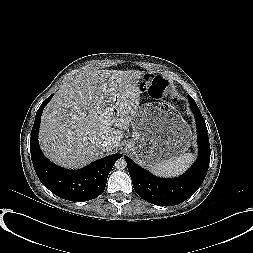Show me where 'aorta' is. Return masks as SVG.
Returning a JSON list of instances; mask_svg holds the SVG:
<instances>
[{
	"instance_id": "762f6f07",
	"label": "aorta",
	"mask_w": 253,
	"mask_h": 253,
	"mask_svg": "<svg viewBox=\"0 0 253 253\" xmlns=\"http://www.w3.org/2000/svg\"><path fill=\"white\" fill-rule=\"evenodd\" d=\"M115 167L118 169V170H123L127 167V162L124 158H120L118 159L116 162H115Z\"/></svg>"
}]
</instances>
